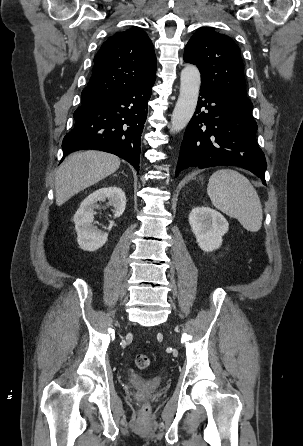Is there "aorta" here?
I'll use <instances>...</instances> for the list:
<instances>
[{
    "instance_id": "aorta-1",
    "label": "aorta",
    "mask_w": 303,
    "mask_h": 446,
    "mask_svg": "<svg viewBox=\"0 0 303 446\" xmlns=\"http://www.w3.org/2000/svg\"><path fill=\"white\" fill-rule=\"evenodd\" d=\"M201 76L198 68L187 65L181 71L180 93L171 116L172 133L183 130L192 118L198 101Z\"/></svg>"
}]
</instances>
